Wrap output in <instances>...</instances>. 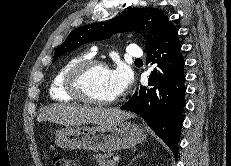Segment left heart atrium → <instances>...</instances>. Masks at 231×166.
Listing matches in <instances>:
<instances>
[{
	"label": "left heart atrium",
	"instance_id": "obj_1",
	"mask_svg": "<svg viewBox=\"0 0 231 166\" xmlns=\"http://www.w3.org/2000/svg\"><path fill=\"white\" fill-rule=\"evenodd\" d=\"M110 83L116 96L123 94L132 83L130 71L122 65L109 70Z\"/></svg>",
	"mask_w": 231,
	"mask_h": 166
}]
</instances>
